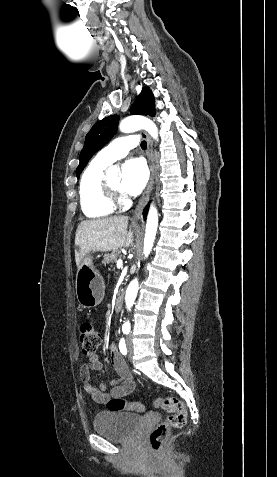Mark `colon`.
Returning a JSON list of instances; mask_svg holds the SVG:
<instances>
[{
    "instance_id": "colon-1",
    "label": "colon",
    "mask_w": 277,
    "mask_h": 477,
    "mask_svg": "<svg viewBox=\"0 0 277 477\" xmlns=\"http://www.w3.org/2000/svg\"><path fill=\"white\" fill-rule=\"evenodd\" d=\"M80 342L83 353L92 355L100 345L101 333L90 322H84L80 327ZM107 405L111 411L134 410L142 412L144 410V406L141 403L130 402L123 398H113ZM154 405L168 414L164 422L155 426L149 437L151 448L154 451H159L167 440L170 430L180 428L186 423V410L183 403L174 396L158 398L155 400Z\"/></svg>"
}]
</instances>
